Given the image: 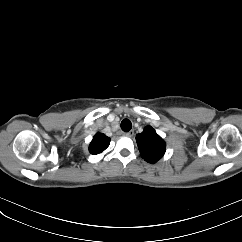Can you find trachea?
Instances as JSON below:
<instances>
[{"label":"trachea","instance_id":"obj_1","mask_svg":"<svg viewBox=\"0 0 242 242\" xmlns=\"http://www.w3.org/2000/svg\"><path fill=\"white\" fill-rule=\"evenodd\" d=\"M131 128H132V123H131V121L129 119L122 120V122H121V129L124 132L130 131Z\"/></svg>","mask_w":242,"mask_h":242}]
</instances>
